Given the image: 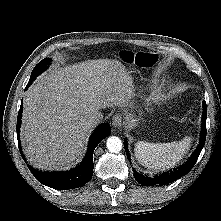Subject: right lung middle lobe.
<instances>
[{
  "mask_svg": "<svg viewBox=\"0 0 221 221\" xmlns=\"http://www.w3.org/2000/svg\"><path fill=\"white\" fill-rule=\"evenodd\" d=\"M50 62V59L49 58H45L43 60H41L37 65L36 67L33 69L32 73H31V76H30V80L31 79H35V77L40 73L42 72L43 70H45L48 66Z\"/></svg>",
  "mask_w": 221,
  "mask_h": 221,
  "instance_id": "1",
  "label": "right lung middle lobe"
}]
</instances>
